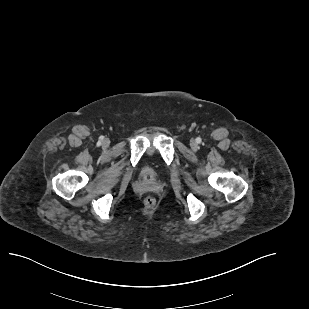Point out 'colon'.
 Here are the masks:
<instances>
[{"label":"colon","mask_w":309,"mask_h":309,"mask_svg":"<svg viewBox=\"0 0 309 309\" xmlns=\"http://www.w3.org/2000/svg\"><path fill=\"white\" fill-rule=\"evenodd\" d=\"M144 204L148 208H153L156 205V199L154 197L149 196L144 200Z\"/></svg>","instance_id":"obj_1"}]
</instances>
